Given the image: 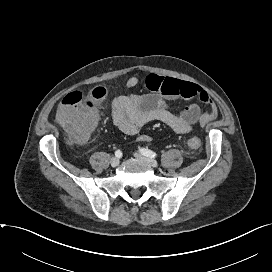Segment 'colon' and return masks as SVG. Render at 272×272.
I'll use <instances>...</instances> for the list:
<instances>
[{
	"mask_svg": "<svg viewBox=\"0 0 272 272\" xmlns=\"http://www.w3.org/2000/svg\"><path fill=\"white\" fill-rule=\"evenodd\" d=\"M105 94V89L98 87L89 95L75 91L62 100L57 119L71 141L83 143L88 139L96 123V102ZM187 145L191 149H198L201 146V140L198 137H192L187 141Z\"/></svg>",
	"mask_w": 272,
	"mask_h": 272,
	"instance_id": "1",
	"label": "colon"
}]
</instances>
